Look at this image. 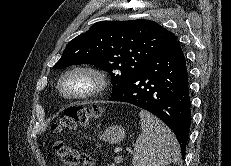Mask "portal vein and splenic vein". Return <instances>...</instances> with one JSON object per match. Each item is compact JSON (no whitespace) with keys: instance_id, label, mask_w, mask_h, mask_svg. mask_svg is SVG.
<instances>
[{"instance_id":"obj_1","label":"portal vein and splenic vein","mask_w":231,"mask_h":166,"mask_svg":"<svg viewBox=\"0 0 231 166\" xmlns=\"http://www.w3.org/2000/svg\"><path fill=\"white\" fill-rule=\"evenodd\" d=\"M115 160H116V161H121V160H122V157L118 155L117 157H115Z\"/></svg>"}]
</instances>
